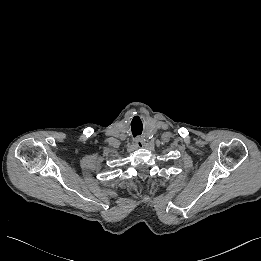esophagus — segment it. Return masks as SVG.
I'll list each match as a JSON object with an SVG mask.
<instances>
[{"label": "esophagus", "mask_w": 261, "mask_h": 261, "mask_svg": "<svg viewBox=\"0 0 261 261\" xmlns=\"http://www.w3.org/2000/svg\"><path fill=\"white\" fill-rule=\"evenodd\" d=\"M134 144L137 148H144L145 147V142L141 139L136 140Z\"/></svg>", "instance_id": "1"}]
</instances>
